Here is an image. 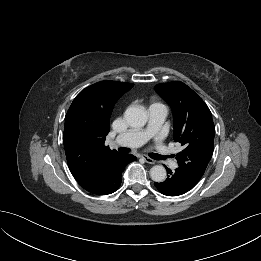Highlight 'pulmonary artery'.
<instances>
[{"instance_id": "pulmonary-artery-1", "label": "pulmonary artery", "mask_w": 261, "mask_h": 261, "mask_svg": "<svg viewBox=\"0 0 261 261\" xmlns=\"http://www.w3.org/2000/svg\"><path fill=\"white\" fill-rule=\"evenodd\" d=\"M167 116V109L163 105H152L149 108V121L145 129L129 130L120 134L114 141L115 144L127 147H139L143 145L151 136H153L160 128ZM158 152L167 159L168 149L160 145ZM175 167V164H172Z\"/></svg>"}]
</instances>
